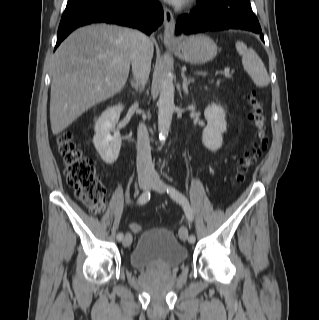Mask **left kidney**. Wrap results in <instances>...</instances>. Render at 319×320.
Segmentation results:
<instances>
[{
    "mask_svg": "<svg viewBox=\"0 0 319 320\" xmlns=\"http://www.w3.org/2000/svg\"><path fill=\"white\" fill-rule=\"evenodd\" d=\"M204 116L207 126L202 133V143L207 149L215 152L222 146V134L227 130L226 113L221 105L212 103L206 107Z\"/></svg>",
    "mask_w": 319,
    "mask_h": 320,
    "instance_id": "1",
    "label": "left kidney"
}]
</instances>
